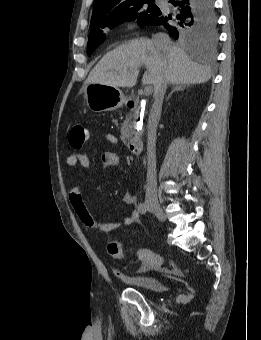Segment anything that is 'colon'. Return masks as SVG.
Listing matches in <instances>:
<instances>
[{"label": "colon", "instance_id": "colon-1", "mask_svg": "<svg viewBox=\"0 0 261 340\" xmlns=\"http://www.w3.org/2000/svg\"><path fill=\"white\" fill-rule=\"evenodd\" d=\"M68 140L72 148H81L87 140V129L79 123L71 125L68 130ZM108 252L115 259H122L124 257V247L118 241L109 243ZM136 254L138 259L142 261L146 267L156 268L174 274H180L182 272V269L174 261L165 259L148 249L140 248L136 251Z\"/></svg>", "mask_w": 261, "mask_h": 340}]
</instances>
